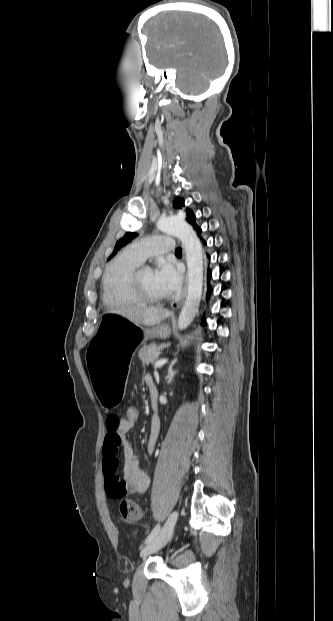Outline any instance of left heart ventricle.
I'll return each mask as SVG.
<instances>
[{
    "label": "left heart ventricle",
    "instance_id": "left-heart-ventricle-1",
    "mask_svg": "<svg viewBox=\"0 0 333 621\" xmlns=\"http://www.w3.org/2000/svg\"><path fill=\"white\" fill-rule=\"evenodd\" d=\"M141 286L146 293L154 297H164L167 294L156 281L154 271L147 269L141 274Z\"/></svg>",
    "mask_w": 333,
    "mask_h": 621
}]
</instances>
